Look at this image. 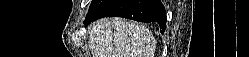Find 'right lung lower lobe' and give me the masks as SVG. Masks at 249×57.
Segmentation results:
<instances>
[{
	"label": "right lung lower lobe",
	"instance_id": "1",
	"mask_svg": "<svg viewBox=\"0 0 249 57\" xmlns=\"http://www.w3.org/2000/svg\"><path fill=\"white\" fill-rule=\"evenodd\" d=\"M119 16L140 22H157L164 32L166 11L160 0H93L84 23Z\"/></svg>",
	"mask_w": 249,
	"mask_h": 57
}]
</instances>
